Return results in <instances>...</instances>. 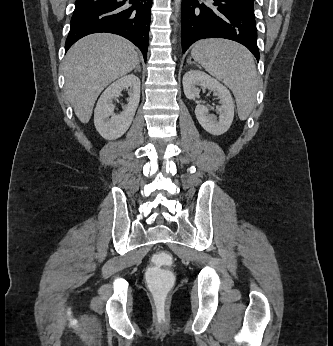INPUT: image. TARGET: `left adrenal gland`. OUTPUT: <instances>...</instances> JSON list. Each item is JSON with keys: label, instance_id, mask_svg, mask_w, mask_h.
Returning a JSON list of instances; mask_svg holds the SVG:
<instances>
[{"label": "left adrenal gland", "instance_id": "obj_1", "mask_svg": "<svg viewBox=\"0 0 333 346\" xmlns=\"http://www.w3.org/2000/svg\"><path fill=\"white\" fill-rule=\"evenodd\" d=\"M187 63L188 64H193L194 63V62L191 61V57L188 58Z\"/></svg>", "mask_w": 333, "mask_h": 346}]
</instances>
